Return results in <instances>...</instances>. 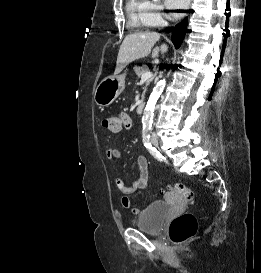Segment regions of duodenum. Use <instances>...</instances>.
I'll return each instance as SVG.
<instances>
[{"instance_id":"duodenum-1","label":"duodenum","mask_w":261,"mask_h":273,"mask_svg":"<svg viewBox=\"0 0 261 273\" xmlns=\"http://www.w3.org/2000/svg\"><path fill=\"white\" fill-rule=\"evenodd\" d=\"M144 110H145V103L144 102L139 103L137 107V113L142 114Z\"/></svg>"}]
</instances>
